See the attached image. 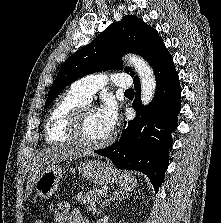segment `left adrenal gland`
Listing matches in <instances>:
<instances>
[{
    "instance_id": "1",
    "label": "left adrenal gland",
    "mask_w": 221,
    "mask_h": 223,
    "mask_svg": "<svg viewBox=\"0 0 221 223\" xmlns=\"http://www.w3.org/2000/svg\"><path fill=\"white\" fill-rule=\"evenodd\" d=\"M128 193L124 194V193H121V192H117V191H114L112 193V195L110 196V198L106 199L102 205H101V208L100 210L98 211L97 213V216H99V214L102 213V210L106 207V206H109L111 202H114V201H121L122 199L124 198H127L128 197Z\"/></svg>"
}]
</instances>
